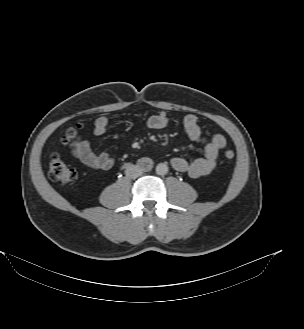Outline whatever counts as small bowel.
Wrapping results in <instances>:
<instances>
[{
  "mask_svg": "<svg viewBox=\"0 0 304 329\" xmlns=\"http://www.w3.org/2000/svg\"><path fill=\"white\" fill-rule=\"evenodd\" d=\"M183 126L188 137L195 142L204 145V156L202 158L188 161L182 157H174L171 160L172 167L182 173H186L190 178L198 179L212 173L218 165L220 150L226 145V138L221 134H215L206 138L202 135V129L198 119L193 114H187L183 118ZM169 123V117L165 111H158L147 120V125L151 129H162ZM109 126V119L100 116L94 124V133L103 135ZM74 156L84 165L100 170H109L114 161L106 152L94 153L89 141H79L72 150Z\"/></svg>",
  "mask_w": 304,
  "mask_h": 329,
  "instance_id": "obj_1",
  "label": "small bowel"
}]
</instances>
